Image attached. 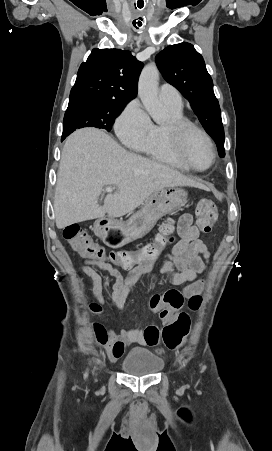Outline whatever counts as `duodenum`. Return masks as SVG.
<instances>
[{
  "label": "duodenum",
  "mask_w": 272,
  "mask_h": 451,
  "mask_svg": "<svg viewBox=\"0 0 272 451\" xmlns=\"http://www.w3.org/2000/svg\"><path fill=\"white\" fill-rule=\"evenodd\" d=\"M96 228L100 234H104L105 225L103 223H101V222L97 223Z\"/></svg>",
  "instance_id": "410a0bca"
}]
</instances>
